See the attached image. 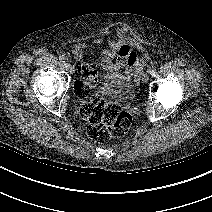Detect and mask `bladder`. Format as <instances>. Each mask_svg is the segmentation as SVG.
I'll return each mask as SVG.
<instances>
[{"instance_id":"bladder-1","label":"bladder","mask_w":212,"mask_h":212,"mask_svg":"<svg viewBox=\"0 0 212 212\" xmlns=\"http://www.w3.org/2000/svg\"><path fill=\"white\" fill-rule=\"evenodd\" d=\"M98 92L109 99L123 102L130 101L135 95L133 85L125 81L117 72H108L103 76Z\"/></svg>"}]
</instances>
